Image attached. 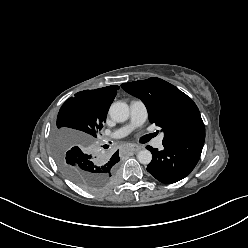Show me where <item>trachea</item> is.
<instances>
[{
  "mask_svg": "<svg viewBox=\"0 0 248 248\" xmlns=\"http://www.w3.org/2000/svg\"><path fill=\"white\" fill-rule=\"evenodd\" d=\"M154 136H156V134L155 133H152V134L148 135V139H150V138H152Z\"/></svg>",
  "mask_w": 248,
  "mask_h": 248,
  "instance_id": "1",
  "label": "trachea"
}]
</instances>
